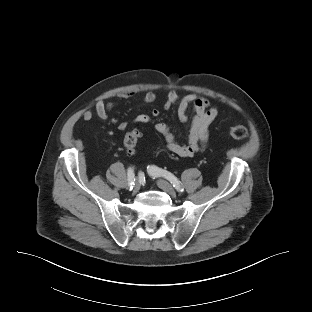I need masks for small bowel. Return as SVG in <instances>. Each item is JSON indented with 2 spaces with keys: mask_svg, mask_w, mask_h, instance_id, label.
Returning <instances> with one entry per match:
<instances>
[{
  "mask_svg": "<svg viewBox=\"0 0 312 312\" xmlns=\"http://www.w3.org/2000/svg\"><path fill=\"white\" fill-rule=\"evenodd\" d=\"M132 93H124L119 95L120 99H128L132 97ZM156 100V94L148 91L143 96L145 103H153ZM175 104L177 107V116L180 122L188 124V137L186 143L179 142L167 124L160 122L155 125L157 133L162 135L166 141L168 151L179 157H191L202 151L208 142L209 126L218 115L217 107L213 106L210 101L198 94H186L179 97L176 91H169L165 97L163 108L169 110ZM113 102L99 101L95 105V113L103 120H110L112 123H117L116 118H110L109 112L113 109ZM189 109H192L194 115L190 118L188 115ZM160 114L159 109L153 108L150 114H139L135 117L134 123L145 124L150 120V117H157ZM93 111L88 109L82 113V118L86 121L91 120ZM129 124L122 121L118 124L120 131H125Z\"/></svg>",
  "mask_w": 312,
  "mask_h": 312,
  "instance_id": "obj_1",
  "label": "small bowel"
}]
</instances>
